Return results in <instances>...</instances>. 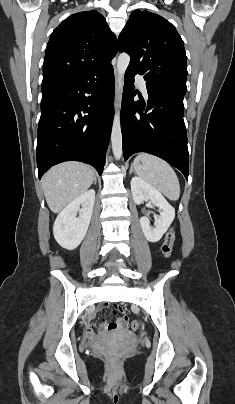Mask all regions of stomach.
I'll return each instance as SVG.
<instances>
[{
	"mask_svg": "<svg viewBox=\"0 0 235 404\" xmlns=\"http://www.w3.org/2000/svg\"><path fill=\"white\" fill-rule=\"evenodd\" d=\"M132 165L134 166L135 171L138 169V167H139V166H141V164H140V163L135 164V162H133V164H132Z\"/></svg>",
	"mask_w": 235,
	"mask_h": 404,
	"instance_id": "1",
	"label": "stomach"
}]
</instances>
